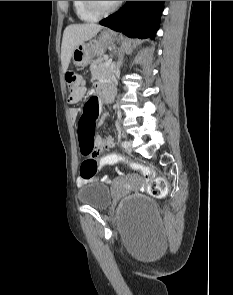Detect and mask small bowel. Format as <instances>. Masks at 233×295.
<instances>
[{"instance_id":"1","label":"small bowel","mask_w":233,"mask_h":295,"mask_svg":"<svg viewBox=\"0 0 233 295\" xmlns=\"http://www.w3.org/2000/svg\"><path fill=\"white\" fill-rule=\"evenodd\" d=\"M84 95H85V92L76 98L69 97L68 101L70 104L75 105V104L79 103L84 98ZM79 113H80V109L76 106H73L70 109V115L73 119L77 118ZM87 113L92 115L95 120V123H98V124H100L106 117V114H103V115L100 114V105H99L98 99L96 97L91 98L86 103L84 110H83V114H87ZM113 145H114V142H113L112 138L109 136H105L103 138L97 139V148L99 151L108 150V149L112 148ZM103 181H105L106 183H109L110 179L108 176H104ZM86 182H87V180L83 179L82 177L77 179V185L79 187L82 186Z\"/></svg>"}]
</instances>
